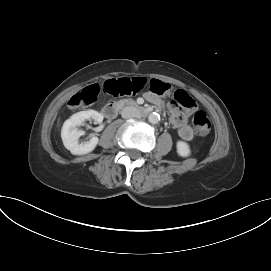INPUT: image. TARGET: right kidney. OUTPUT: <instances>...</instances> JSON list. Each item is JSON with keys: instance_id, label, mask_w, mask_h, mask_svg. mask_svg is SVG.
I'll return each mask as SVG.
<instances>
[{"instance_id": "obj_1", "label": "right kidney", "mask_w": 271, "mask_h": 271, "mask_svg": "<svg viewBox=\"0 0 271 271\" xmlns=\"http://www.w3.org/2000/svg\"><path fill=\"white\" fill-rule=\"evenodd\" d=\"M93 119L96 123L103 121V115L94 110H87L75 113L63 124L61 137L63 144L73 155H84L92 152L98 144V137H92L89 141L79 144L80 136L84 131L78 130L85 120Z\"/></svg>"}]
</instances>
